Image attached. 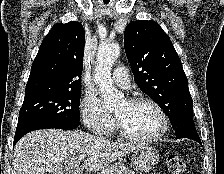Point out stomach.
Instances as JSON below:
<instances>
[{
	"label": "stomach",
	"instance_id": "obj_1",
	"mask_svg": "<svg viewBox=\"0 0 224 174\" xmlns=\"http://www.w3.org/2000/svg\"><path fill=\"white\" fill-rule=\"evenodd\" d=\"M159 161V154L156 148L141 144L132 154L131 166L140 172H148L153 169Z\"/></svg>",
	"mask_w": 224,
	"mask_h": 174
}]
</instances>
